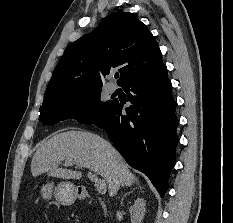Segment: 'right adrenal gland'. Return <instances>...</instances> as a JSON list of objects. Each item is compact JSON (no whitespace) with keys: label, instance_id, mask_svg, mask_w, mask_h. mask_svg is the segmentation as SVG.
<instances>
[{"label":"right adrenal gland","instance_id":"obj_1","mask_svg":"<svg viewBox=\"0 0 233 223\" xmlns=\"http://www.w3.org/2000/svg\"><path fill=\"white\" fill-rule=\"evenodd\" d=\"M137 185H138V189H141L139 183H137ZM133 189H135V187H132V189H130V191H127V193H125V195H123V197H122V199L120 201V207H122V205H123V199H124V197H126V195H128V193H131V191H133Z\"/></svg>","mask_w":233,"mask_h":223}]
</instances>
